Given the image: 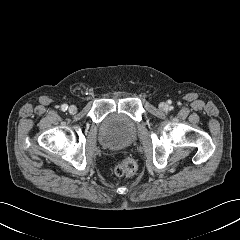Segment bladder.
<instances>
[{
	"label": "bladder",
	"instance_id": "bladder-1",
	"mask_svg": "<svg viewBox=\"0 0 240 240\" xmlns=\"http://www.w3.org/2000/svg\"><path fill=\"white\" fill-rule=\"evenodd\" d=\"M136 135L135 124L122 113H111L100 123V143L107 149H124L134 143Z\"/></svg>",
	"mask_w": 240,
	"mask_h": 240
}]
</instances>
